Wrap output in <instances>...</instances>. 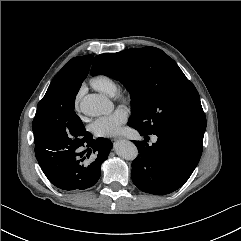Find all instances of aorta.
Masks as SVG:
<instances>
[{"instance_id": "762f6f07", "label": "aorta", "mask_w": 241, "mask_h": 241, "mask_svg": "<svg viewBox=\"0 0 241 241\" xmlns=\"http://www.w3.org/2000/svg\"><path fill=\"white\" fill-rule=\"evenodd\" d=\"M80 111L87 116H100L112 110V103L99 94H88L84 96L79 104ZM115 152L125 160L137 158L138 149L136 145L128 140H120L114 144Z\"/></svg>"}]
</instances>
